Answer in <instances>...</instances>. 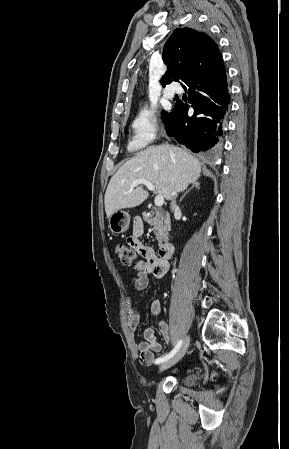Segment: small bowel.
I'll return each mask as SVG.
<instances>
[{
	"mask_svg": "<svg viewBox=\"0 0 289 449\" xmlns=\"http://www.w3.org/2000/svg\"><path fill=\"white\" fill-rule=\"evenodd\" d=\"M143 222L137 218L133 222L132 232L127 238L130 245L142 259L137 260L133 268L137 272V276L133 279L132 284L137 291L145 290L149 285V277L155 279L163 278L169 270V263L166 260L159 259L154 250L142 243L140 237L143 233ZM127 318L130 328L136 331L139 326V314L130 296L126 297ZM150 314L159 315L161 312V302L153 300L150 304ZM159 331L163 338L171 341L168 325L161 321L158 325ZM143 341L138 344L139 359L143 365H151L154 361V354L162 350L161 343L157 340L155 330L152 326H148L143 331Z\"/></svg>",
	"mask_w": 289,
	"mask_h": 449,
	"instance_id": "c3829d8e",
	"label": "small bowel"
}]
</instances>
